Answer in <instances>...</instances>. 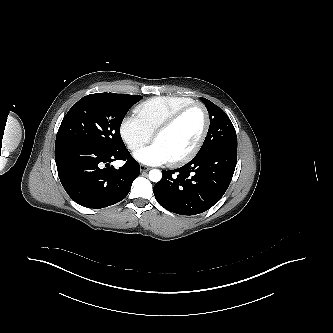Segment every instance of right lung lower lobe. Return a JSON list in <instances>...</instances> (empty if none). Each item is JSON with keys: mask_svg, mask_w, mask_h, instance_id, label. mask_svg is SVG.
Wrapping results in <instances>:
<instances>
[{"mask_svg": "<svg viewBox=\"0 0 333 333\" xmlns=\"http://www.w3.org/2000/svg\"><path fill=\"white\" fill-rule=\"evenodd\" d=\"M115 160L126 163L116 169L110 166ZM55 161L67 194L79 205L93 209L123 200L140 173L139 163L126 147L107 152L72 142H59L55 143Z\"/></svg>", "mask_w": 333, "mask_h": 333, "instance_id": "obj_1", "label": "right lung lower lobe"}]
</instances>
